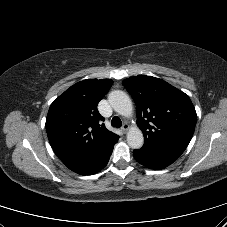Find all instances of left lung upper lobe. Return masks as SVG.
Here are the masks:
<instances>
[{
  "mask_svg": "<svg viewBox=\"0 0 227 227\" xmlns=\"http://www.w3.org/2000/svg\"><path fill=\"white\" fill-rule=\"evenodd\" d=\"M137 108V125L146 147L182 154L189 144L197 115L190 98L164 80L138 75L123 81Z\"/></svg>",
  "mask_w": 227,
  "mask_h": 227,
  "instance_id": "5c2ea615",
  "label": "left lung upper lobe"
}]
</instances>
